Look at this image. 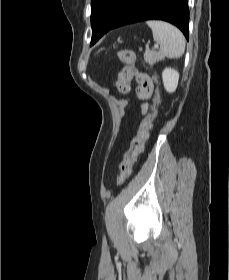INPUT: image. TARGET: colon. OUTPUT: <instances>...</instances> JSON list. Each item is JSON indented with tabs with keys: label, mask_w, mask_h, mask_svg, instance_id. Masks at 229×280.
<instances>
[{
	"label": "colon",
	"mask_w": 229,
	"mask_h": 280,
	"mask_svg": "<svg viewBox=\"0 0 229 280\" xmlns=\"http://www.w3.org/2000/svg\"><path fill=\"white\" fill-rule=\"evenodd\" d=\"M118 57L120 61L125 65L119 73V82L117 84L118 90L121 93L127 92L129 81L135 78L144 95L149 98L153 91V81L149 75L140 73L136 70V52L131 49H123L118 52ZM153 100L156 106L155 109L143 118L135 136L131 139L130 149L125 155L124 162L121 165L120 173L117 177L118 185H122L131 175L133 165L139 154L143 152L145 144L149 139L153 122L158 114V106L160 104L159 95H155Z\"/></svg>",
	"instance_id": "obj_1"
}]
</instances>
